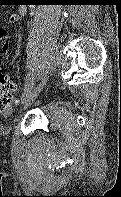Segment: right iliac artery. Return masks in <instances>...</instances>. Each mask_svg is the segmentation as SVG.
<instances>
[{"label":"right iliac artery","instance_id":"1","mask_svg":"<svg viewBox=\"0 0 121 197\" xmlns=\"http://www.w3.org/2000/svg\"><path fill=\"white\" fill-rule=\"evenodd\" d=\"M34 79H35V73H29L27 75L25 90H24V94L22 96V100H24L26 97H28V95L31 93V91L34 87Z\"/></svg>","mask_w":121,"mask_h":197}]
</instances>
